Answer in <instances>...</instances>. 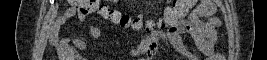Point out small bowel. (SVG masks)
<instances>
[{"mask_svg": "<svg viewBox=\"0 0 267 60\" xmlns=\"http://www.w3.org/2000/svg\"><path fill=\"white\" fill-rule=\"evenodd\" d=\"M215 12V2L212 0H190V6L186 14L179 20L176 26L166 32L155 31L149 35H143L139 46L131 51L132 56L140 58L142 55H148L152 59L162 44L169 43L185 59L200 60V56L190 51L185 45L182 35L187 34L206 59L222 60L223 56L215 51L218 39L217 29L221 24L220 19L215 16ZM75 16L80 21L86 19V15L71 5L64 11L62 19L67 20ZM203 18L208 20L204 21ZM61 25V21L55 24L53 36L57 37ZM88 31L93 38L100 36V30L95 26H89ZM87 47V41L81 37L74 38L72 43H70L68 38H62L56 44L57 51L63 57L85 51Z\"/></svg>", "mask_w": 267, "mask_h": 60, "instance_id": "obj_1", "label": "small bowel"}]
</instances>
